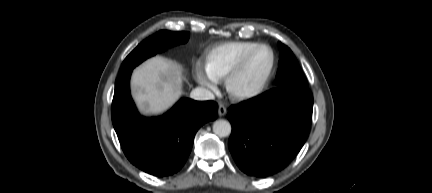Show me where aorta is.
<instances>
[{"mask_svg":"<svg viewBox=\"0 0 432 193\" xmlns=\"http://www.w3.org/2000/svg\"><path fill=\"white\" fill-rule=\"evenodd\" d=\"M231 129V124L226 120L219 119L213 123V132L219 137L229 136Z\"/></svg>","mask_w":432,"mask_h":193,"instance_id":"aorta-1","label":"aorta"}]
</instances>
